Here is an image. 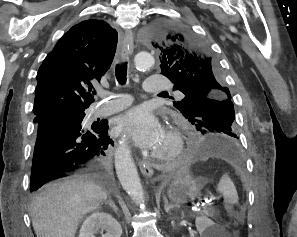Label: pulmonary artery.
I'll list each match as a JSON object with an SVG mask.
<instances>
[{"label":"pulmonary artery","mask_w":297,"mask_h":237,"mask_svg":"<svg viewBox=\"0 0 297 237\" xmlns=\"http://www.w3.org/2000/svg\"><path fill=\"white\" fill-rule=\"evenodd\" d=\"M169 87V83L163 79L162 76H151L148 77L143 85V89L148 93H156L167 89ZM132 99L129 95H119L115 96L112 99L102 103L96 104L93 107V113L96 116H104L116 113L121 111L122 109L131 105Z\"/></svg>","instance_id":"obj_1"}]
</instances>
